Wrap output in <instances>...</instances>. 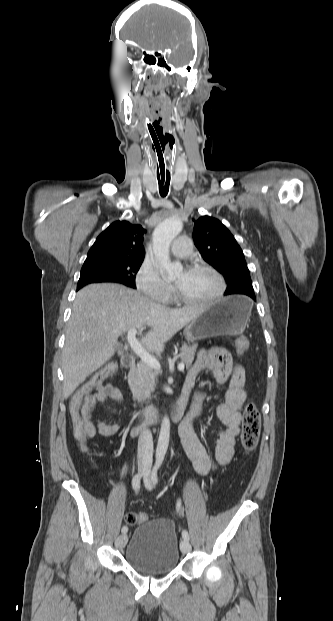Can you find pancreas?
Here are the masks:
<instances>
[{
  "instance_id": "cf45deb5",
  "label": "pancreas",
  "mask_w": 333,
  "mask_h": 621,
  "mask_svg": "<svg viewBox=\"0 0 333 621\" xmlns=\"http://www.w3.org/2000/svg\"><path fill=\"white\" fill-rule=\"evenodd\" d=\"M196 350L197 345L188 346L184 344L179 354L181 362H184L190 367L194 360ZM158 373L157 369L150 367L143 361H140L137 367L129 372V386L133 393L134 400L142 402L150 398L151 392L155 390V381Z\"/></svg>"
}]
</instances>
